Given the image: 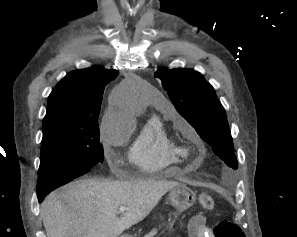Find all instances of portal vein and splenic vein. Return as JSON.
Wrapping results in <instances>:
<instances>
[{
  "instance_id": "18ae733b",
  "label": "portal vein and splenic vein",
  "mask_w": 297,
  "mask_h": 237,
  "mask_svg": "<svg viewBox=\"0 0 297 237\" xmlns=\"http://www.w3.org/2000/svg\"><path fill=\"white\" fill-rule=\"evenodd\" d=\"M124 211H126V208H125L124 206H121V207L119 208V212H120V213H123Z\"/></svg>"
}]
</instances>
